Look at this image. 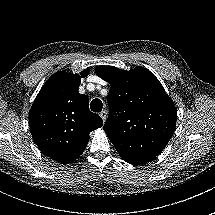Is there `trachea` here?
Returning a JSON list of instances; mask_svg holds the SVG:
<instances>
[{"mask_svg": "<svg viewBox=\"0 0 215 215\" xmlns=\"http://www.w3.org/2000/svg\"><path fill=\"white\" fill-rule=\"evenodd\" d=\"M103 103L100 99L96 98L91 102V110L93 112L99 113L102 111Z\"/></svg>", "mask_w": 215, "mask_h": 215, "instance_id": "3493384b", "label": "trachea"}]
</instances>
